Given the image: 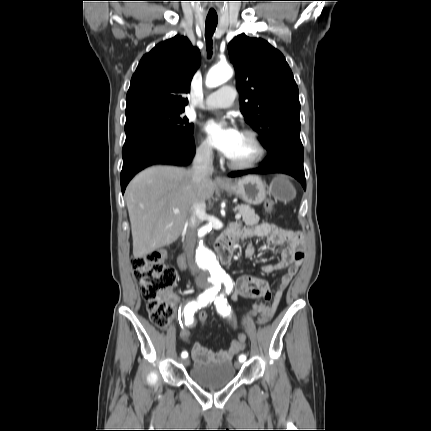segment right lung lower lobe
<instances>
[{
	"instance_id": "98d812e1",
	"label": "right lung lower lobe",
	"mask_w": 431,
	"mask_h": 431,
	"mask_svg": "<svg viewBox=\"0 0 431 431\" xmlns=\"http://www.w3.org/2000/svg\"><path fill=\"white\" fill-rule=\"evenodd\" d=\"M195 154L192 136L163 129H147L126 136L122 150L121 190L142 169L154 164L186 166Z\"/></svg>"
}]
</instances>
